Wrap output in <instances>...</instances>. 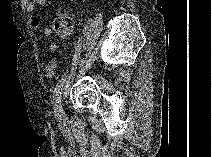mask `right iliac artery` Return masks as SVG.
Wrapping results in <instances>:
<instances>
[{
    "instance_id": "1",
    "label": "right iliac artery",
    "mask_w": 212,
    "mask_h": 157,
    "mask_svg": "<svg viewBox=\"0 0 212 157\" xmlns=\"http://www.w3.org/2000/svg\"><path fill=\"white\" fill-rule=\"evenodd\" d=\"M65 79L61 78L58 82V84L55 87L54 90V110L55 113H60L62 111L61 109V90L63 88Z\"/></svg>"
}]
</instances>
